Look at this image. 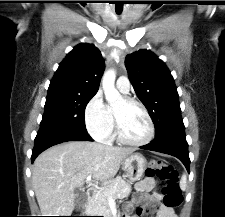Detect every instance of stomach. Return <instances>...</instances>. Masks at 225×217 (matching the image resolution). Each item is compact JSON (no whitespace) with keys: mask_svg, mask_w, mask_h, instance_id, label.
<instances>
[{"mask_svg":"<svg viewBox=\"0 0 225 217\" xmlns=\"http://www.w3.org/2000/svg\"><path fill=\"white\" fill-rule=\"evenodd\" d=\"M147 166L146 158L139 153L131 154L122 162V169L131 181L139 180Z\"/></svg>","mask_w":225,"mask_h":217,"instance_id":"stomach-1","label":"stomach"}]
</instances>
